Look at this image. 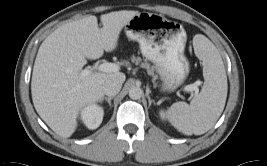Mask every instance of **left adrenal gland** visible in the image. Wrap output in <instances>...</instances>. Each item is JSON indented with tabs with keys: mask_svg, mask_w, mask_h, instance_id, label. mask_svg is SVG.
<instances>
[{
	"mask_svg": "<svg viewBox=\"0 0 267 166\" xmlns=\"http://www.w3.org/2000/svg\"><path fill=\"white\" fill-rule=\"evenodd\" d=\"M146 96H147V99H148L149 106H150L152 103H154V104H155V101H154V100H152V99L150 98V95H149V93H147V94H146Z\"/></svg>",
	"mask_w": 267,
	"mask_h": 166,
	"instance_id": "1",
	"label": "left adrenal gland"
}]
</instances>
